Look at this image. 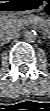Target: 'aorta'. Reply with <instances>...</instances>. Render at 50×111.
Here are the masks:
<instances>
[{"label": "aorta", "instance_id": "obj_1", "mask_svg": "<svg viewBox=\"0 0 50 111\" xmlns=\"http://www.w3.org/2000/svg\"><path fill=\"white\" fill-rule=\"evenodd\" d=\"M36 37H37V33H36V31H34V30H28V31H26L25 34H24V39H25L27 42H35Z\"/></svg>", "mask_w": 50, "mask_h": 111}]
</instances>
